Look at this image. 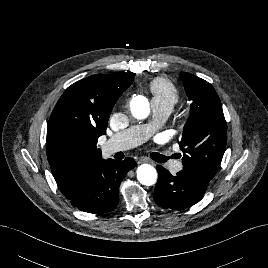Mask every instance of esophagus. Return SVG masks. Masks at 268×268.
<instances>
[{"instance_id":"esophagus-1","label":"esophagus","mask_w":268,"mask_h":268,"mask_svg":"<svg viewBox=\"0 0 268 268\" xmlns=\"http://www.w3.org/2000/svg\"><path fill=\"white\" fill-rule=\"evenodd\" d=\"M148 162H150V160L147 157H139L137 160L138 164L148 163Z\"/></svg>"}]
</instances>
